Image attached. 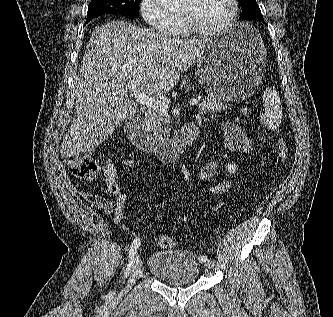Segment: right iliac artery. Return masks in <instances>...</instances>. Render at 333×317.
Wrapping results in <instances>:
<instances>
[{"instance_id":"1","label":"right iliac artery","mask_w":333,"mask_h":317,"mask_svg":"<svg viewBox=\"0 0 333 317\" xmlns=\"http://www.w3.org/2000/svg\"><path fill=\"white\" fill-rule=\"evenodd\" d=\"M140 239L139 238H136L133 240L131 246H130V250H129V262H128V265H127V268H126V271L124 273V278L128 276V274L130 273L131 271V268L133 266V262H134V257L137 253V250L140 246Z\"/></svg>"}]
</instances>
